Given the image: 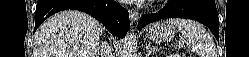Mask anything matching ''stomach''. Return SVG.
<instances>
[{
	"mask_svg": "<svg viewBox=\"0 0 249 57\" xmlns=\"http://www.w3.org/2000/svg\"><path fill=\"white\" fill-rule=\"evenodd\" d=\"M175 33L174 26L163 23H154L146 30L147 37L154 41H171Z\"/></svg>",
	"mask_w": 249,
	"mask_h": 57,
	"instance_id": "obj_1",
	"label": "stomach"
}]
</instances>
